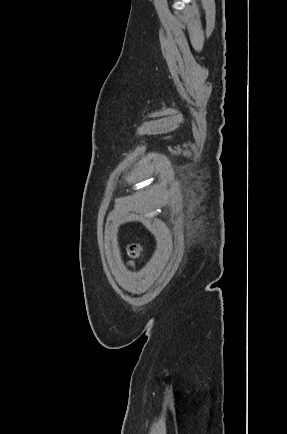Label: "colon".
Returning <instances> with one entry per match:
<instances>
[{
    "label": "colon",
    "instance_id": "1",
    "mask_svg": "<svg viewBox=\"0 0 287 434\" xmlns=\"http://www.w3.org/2000/svg\"><path fill=\"white\" fill-rule=\"evenodd\" d=\"M140 252V246L138 244H131L129 246V253L132 257H137Z\"/></svg>",
    "mask_w": 287,
    "mask_h": 434
}]
</instances>
